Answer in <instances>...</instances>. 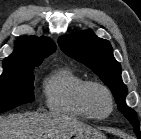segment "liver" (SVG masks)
I'll return each instance as SVG.
<instances>
[{"instance_id":"1","label":"liver","mask_w":141,"mask_h":139,"mask_svg":"<svg viewBox=\"0 0 141 139\" xmlns=\"http://www.w3.org/2000/svg\"><path fill=\"white\" fill-rule=\"evenodd\" d=\"M92 128L60 112L11 114L0 117V139H70Z\"/></svg>"}]
</instances>
